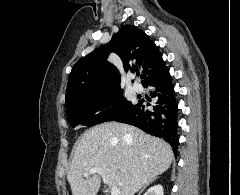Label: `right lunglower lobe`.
Returning <instances> with one entry per match:
<instances>
[{"label":"right lung lower lobe","instance_id":"obj_1","mask_svg":"<svg viewBox=\"0 0 240 195\" xmlns=\"http://www.w3.org/2000/svg\"><path fill=\"white\" fill-rule=\"evenodd\" d=\"M145 87L150 89L152 103L139 100L134 108L116 117L114 121L134 125L151 135L167 141L175 154L179 144L177 135V102L168 69L151 80ZM149 101H151L149 99Z\"/></svg>","mask_w":240,"mask_h":195}]
</instances>
